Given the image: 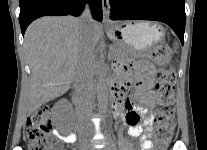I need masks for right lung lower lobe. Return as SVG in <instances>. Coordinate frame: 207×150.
<instances>
[{"instance_id": "right-lung-lower-lobe-1", "label": "right lung lower lobe", "mask_w": 207, "mask_h": 150, "mask_svg": "<svg viewBox=\"0 0 207 150\" xmlns=\"http://www.w3.org/2000/svg\"><path fill=\"white\" fill-rule=\"evenodd\" d=\"M89 3L92 16L98 21H102V1L101 0H20L19 22L21 32L24 35L28 25L35 19L42 16H62L81 14L85 3Z\"/></svg>"}]
</instances>
